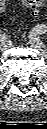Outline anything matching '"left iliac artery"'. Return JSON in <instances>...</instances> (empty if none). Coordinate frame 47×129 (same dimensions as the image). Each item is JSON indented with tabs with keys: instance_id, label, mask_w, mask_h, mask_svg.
I'll list each match as a JSON object with an SVG mask.
<instances>
[{
	"instance_id": "1",
	"label": "left iliac artery",
	"mask_w": 47,
	"mask_h": 129,
	"mask_svg": "<svg viewBox=\"0 0 47 129\" xmlns=\"http://www.w3.org/2000/svg\"><path fill=\"white\" fill-rule=\"evenodd\" d=\"M33 34H43L46 32V26L45 25H37L34 29H33Z\"/></svg>"
}]
</instances>
